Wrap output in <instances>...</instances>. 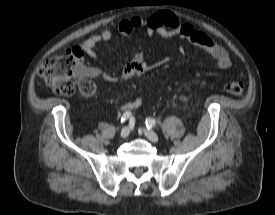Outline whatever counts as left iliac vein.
I'll return each instance as SVG.
<instances>
[{
	"label": "left iliac vein",
	"mask_w": 275,
	"mask_h": 215,
	"mask_svg": "<svg viewBox=\"0 0 275 215\" xmlns=\"http://www.w3.org/2000/svg\"><path fill=\"white\" fill-rule=\"evenodd\" d=\"M144 134L152 142H158L159 141V136L151 130L144 129Z\"/></svg>",
	"instance_id": "1"
}]
</instances>
